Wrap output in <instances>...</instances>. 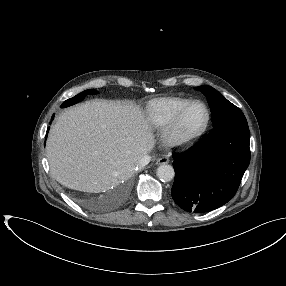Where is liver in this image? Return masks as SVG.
<instances>
[{"label": "liver", "mask_w": 286, "mask_h": 286, "mask_svg": "<svg viewBox=\"0 0 286 286\" xmlns=\"http://www.w3.org/2000/svg\"><path fill=\"white\" fill-rule=\"evenodd\" d=\"M154 144L137 106L92 100L58 117L46 150L54 179L68 188L99 193L131 177Z\"/></svg>", "instance_id": "6515ba94"}]
</instances>
